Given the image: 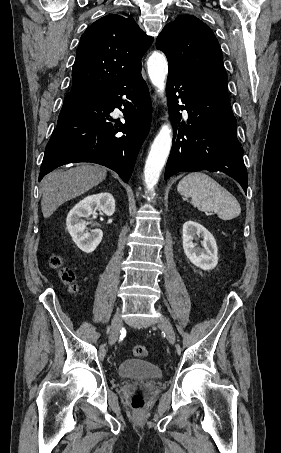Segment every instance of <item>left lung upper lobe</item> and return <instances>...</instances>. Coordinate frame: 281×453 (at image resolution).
<instances>
[{
    "instance_id": "5c2ea615",
    "label": "left lung upper lobe",
    "mask_w": 281,
    "mask_h": 453,
    "mask_svg": "<svg viewBox=\"0 0 281 453\" xmlns=\"http://www.w3.org/2000/svg\"><path fill=\"white\" fill-rule=\"evenodd\" d=\"M156 47L169 69L195 80L227 82L220 45L212 30L192 15L178 16L159 34Z\"/></svg>"
}]
</instances>
